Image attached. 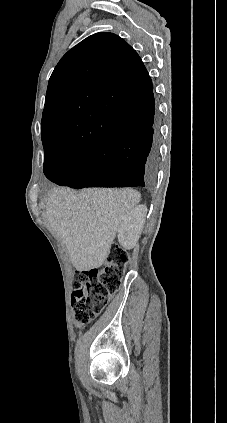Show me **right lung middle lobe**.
Here are the masks:
<instances>
[{
  "label": "right lung middle lobe",
  "mask_w": 227,
  "mask_h": 423,
  "mask_svg": "<svg viewBox=\"0 0 227 423\" xmlns=\"http://www.w3.org/2000/svg\"><path fill=\"white\" fill-rule=\"evenodd\" d=\"M43 146H44V153H45L44 163H49L51 161L58 162L63 160L72 161V160L80 158L85 152L82 150L66 147L56 142L43 141Z\"/></svg>",
  "instance_id": "dd1d6c3e"
}]
</instances>
